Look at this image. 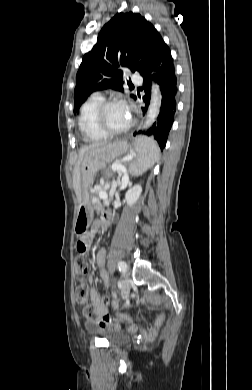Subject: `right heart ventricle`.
<instances>
[{
  "mask_svg": "<svg viewBox=\"0 0 252 390\" xmlns=\"http://www.w3.org/2000/svg\"><path fill=\"white\" fill-rule=\"evenodd\" d=\"M104 101L100 95H92L81 106L79 128L87 142H100L108 138L97 127L95 113L98 106Z\"/></svg>",
  "mask_w": 252,
  "mask_h": 390,
  "instance_id": "e07e8e85",
  "label": "right heart ventricle"
}]
</instances>
